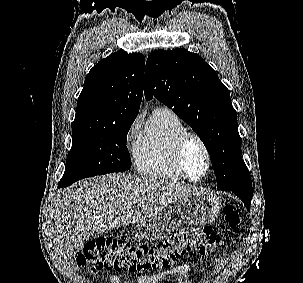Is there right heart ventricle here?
I'll use <instances>...</instances> for the list:
<instances>
[{"instance_id":"1","label":"right heart ventricle","mask_w":303,"mask_h":283,"mask_svg":"<svg viewBox=\"0 0 303 283\" xmlns=\"http://www.w3.org/2000/svg\"><path fill=\"white\" fill-rule=\"evenodd\" d=\"M184 131L186 128L175 113L157 108L135 147L137 170L150 177L171 181L186 180L177 167L174 156L175 142Z\"/></svg>"}]
</instances>
